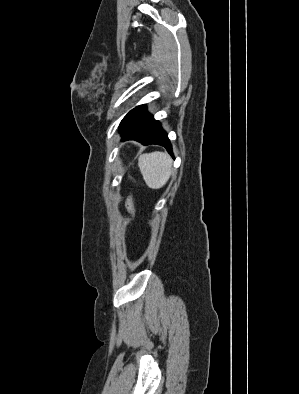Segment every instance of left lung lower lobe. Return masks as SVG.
<instances>
[{"label":"left lung lower lobe","instance_id":"left-lung-lower-lobe-1","mask_svg":"<svg viewBox=\"0 0 299 394\" xmlns=\"http://www.w3.org/2000/svg\"><path fill=\"white\" fill-rule=\"evenodd\" d=\"M119 133L122 140H136L143 145L157 144L165 147L172 154V147L167 133L153 116L146 111V105L132 109L121 121Z\"/></svg>","mask_w":299,"mask_h":394}]
</instances>
